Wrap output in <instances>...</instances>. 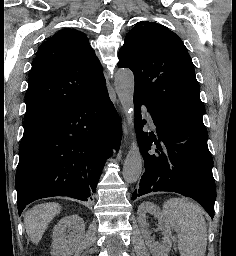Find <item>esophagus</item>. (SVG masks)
Here are the masks:
<instances>
[{"label":"esophagus","mask_w":236,"mask_h":256,"mask_svg":"<svg viewBox=\"0 0 236 256\" xmlns=\"http://www.w3.org/2000/svg\"><path fill=\"white\" fill-rule=\"evenodd\" d=\"M124 133L125 135L127 134V128H126V124L124 123Z\"/></svg>","instance_id":"esophagus-1"}]
</instances>
